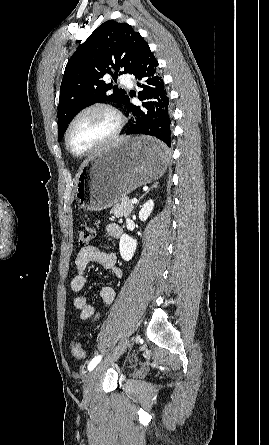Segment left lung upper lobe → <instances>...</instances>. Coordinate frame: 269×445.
Returning a JSON list of instances; mask_svg holds the SVG:
<instances>
[{"label":"left lung upper lobe","mask_w":269,"mask_h":445,"mask_svg":"<svg viewBox=\"0 0 269 445\" xmlns=\"http://www.w3.org/2000/svg\"><path fill=\"white\" fill-rule=\"evenodd\" d=\"M147 48V42L130 25L114 20L104 22L88 37L65 68L58 106L59 141L81 109L97 102L125 103L126 91L105 83L103 77L108 73L116 80L120 68L119 74H130Z\"/></svg>","instance_id":"1"}]
</instances>
